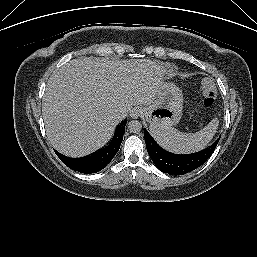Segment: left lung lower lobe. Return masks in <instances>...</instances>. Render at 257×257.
Wrapping results in <instances>:
<instances>
[{"label": "left lung lower lobe", "instance_id": "1", "mask_svg": "<svg viewBox=\"0 0 257 257\" xmlns=\"http://www.w3.org/2000/svg\"><path fill=\"white\" fill-rule=\"evenodd\" d=\"M147 151L155 166L163 173L183 175L203 165L214 152L219 139L210 147L192 154H174L160 147L153 137L144 130Z\"/></svg>", "mask_w": 257, "mask_h": 257}]
</instances>
